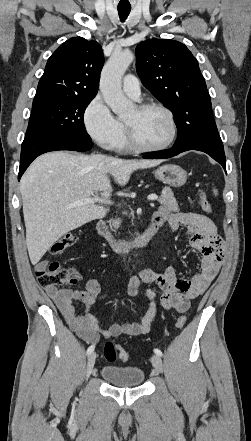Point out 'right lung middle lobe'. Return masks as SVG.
Returning <instances> with one entry per match:
<instances>
[{
  "instance_id": "1",
  "label": "right lung middle lobe",
  "mask_w": 251,
  "mask_h": 441,
  "mask_svg": "<svg viewBox=\"0 0 251 441\" xmlns=\"http://www.w3.org/2000/svg\"><path fill=\"white\" fill-rule=\"evenodd\" d=\"M93 98H49L33 101L27 129H39L73 141H91L83 116Z\"/></svg>"
}]
</instances>
